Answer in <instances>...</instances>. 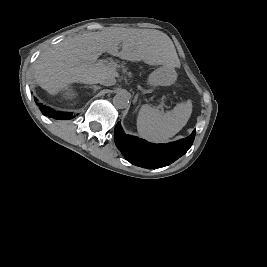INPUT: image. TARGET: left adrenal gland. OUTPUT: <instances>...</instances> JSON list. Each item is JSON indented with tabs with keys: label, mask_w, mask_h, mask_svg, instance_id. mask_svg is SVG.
Returning <instances> with one entry per match:
<instances>
[{
	"label": "left adrenal gland",
	"mask_w": 267,
	"mask_h": 267,
	"mask_svg": "<svg viewBox=\"0 0 267 267\" xmlns=\"http://www.w3.org/2000/svg\"><path fill=\"white\" fill-rule=\"evenodd\" d=\"M138 98V95H136V99ZM138 108V107H137ZM137 108H136V110H137Z\"/></svg>",
	"instance_id": "left-adrenal-gland-1"
}]
</instances>
